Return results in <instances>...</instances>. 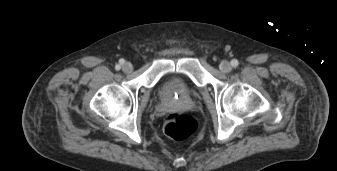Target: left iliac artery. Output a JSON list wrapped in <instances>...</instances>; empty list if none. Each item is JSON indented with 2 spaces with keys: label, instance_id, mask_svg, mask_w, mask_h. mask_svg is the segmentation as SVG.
I'll return each instance as SVG.
<instances>
[{
  "label": "left iliac artery",
  "instance_id": "44dca946",
  "mask_svg": "<svg viewBox=\"0 0 337 171\" xmlns=\"http://www.w3.org/2000/svg\"><path fill=\"white\" fill-rule=\"evenodd\" d=\"M238 64H239L238 60H236V59L231 60V65H232L233 67H237Z\"/></svg>",
  "mask_w": 337,
  "mask_h": 171
}]
</instances>
